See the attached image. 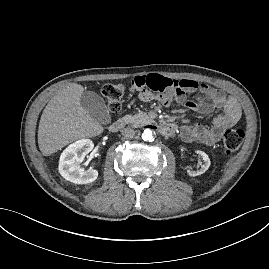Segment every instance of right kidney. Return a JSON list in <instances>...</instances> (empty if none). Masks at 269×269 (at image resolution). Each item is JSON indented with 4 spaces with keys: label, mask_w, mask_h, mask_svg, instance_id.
<instances>
[{
    "label": "right kidney",
    "mask_w": 269,
    "mask_h": 269,
    "mask_svg": "<svg viewBox=\"0 0 269 269\" xmlns=\"http://www.w3.org/2000/svg\"><path fill=\"white\" fill-rule=\"evenodd\" d=\"M94 144L90 139H81L69 145L61 154L59 172L63 178L75 184H87L95 181L98 171L95 169L84 170L80 164L85 156L93 149Z\"/></svg>",
    "instance_id": "obj_1"
}]
</instances>
